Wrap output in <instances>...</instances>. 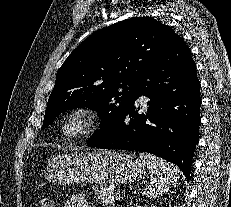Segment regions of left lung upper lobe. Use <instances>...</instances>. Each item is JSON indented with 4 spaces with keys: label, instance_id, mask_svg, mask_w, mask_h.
Here are the masks:
<instances>
[{
    "label": "left lung upper lobe",
    "instance_id": "5c2ea615",
    "mask_svg": "<svg viewBox=\"0 0 231 207\" xmlns=\"http://www.w3.org/2000/svg\"><path fill=\"white\" fill-rule=\"evenodd\" d=\"M179 37L151 17L127 19L93 33L57 71L41 129L63 111L88 106L102 117L89 141L111 135L136 100L145 68Z\"/></svg>",
    "mask_w": 231,
    "mask_h": 207
}]
</instances>
